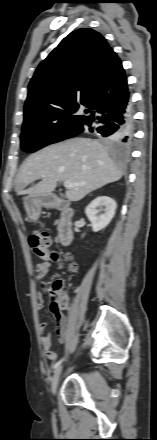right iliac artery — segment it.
<instances>
[{
  "label": "right iliac artery",
  "mask_w": 157,
  "mask_h": 440,
  "mask_svg": "<svg viewBox=\"0 0 157 440\" xmlns=\"http://www.w3.org/2000/svg\"><path fill=\"white\" fill-rule=\"evenodd\" d=\"M64 359L65 358H62V359H60L58 362H56L54 365H53V370H55V369H57L60 365H61V363L64 361Z\"/></svg>",
  "instance_id": "1"
}]
</instances>
